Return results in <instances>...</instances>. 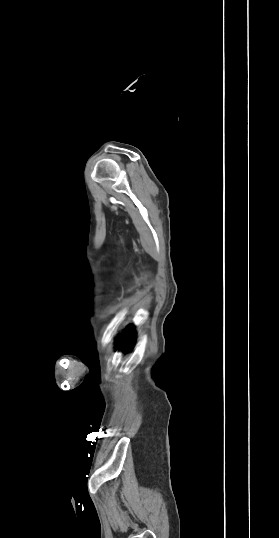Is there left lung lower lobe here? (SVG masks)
Wrapping results in <instances>:
<instances>
[{
    "mask_svg": "<svg viewBox=\"0 0 279 538\" xmlns=\"http://www.w3.org/2000/svg\"><path fill=\"white\" fill-rule=\"evenodd\" d=\"M132 330H133V327L128 326L126 330L122 332L121 336L118 339L119 343L121 342L123 345H125V348H124L125 352L130 350V348L132 347L135 341V333H133Z\"/></svg>",
    "mask_w": 279,
    "mask_h": 538,
    "instance_id": "1",
    "label": "left lung lower lobe"
}]
</instances>
